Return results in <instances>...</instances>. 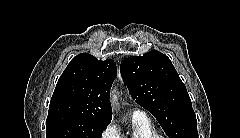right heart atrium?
<instances>
[{"label": "right heart atrium", "mask_w": 240, "mask_h": 138, "mask_svg": "<svg viewBox=\"0 0 240 138\" xmlns=\"http://www.w3.org/2000/svg\"><path fill=\"white\" fill-rule=\"evenodd\" d=\"M118 130L112 123L107 124L101 132V138H117Z\"/></svg>", "instance_id": "1"}]
</instances>
